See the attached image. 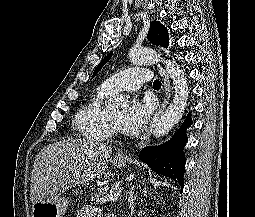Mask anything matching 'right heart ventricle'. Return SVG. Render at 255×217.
<instances>
[{
    "mask_svg": "<svg viewBox=\"0 0 255 217\" xmlns=\"http://www.w3.org/2000/svg\"><path fill=\"white\" fill-rule=\"evenodd\" d=\"M110 94L99 86L75 114L73 126L82 137L92 141L110 138L109 113L104 108V101Z\"/></svg>",
    "mask_w": 255,
    "mask_h": 217,
    "instance_id": "obj_1",
    "label": "right heart ventricle"
}]
</instances>
